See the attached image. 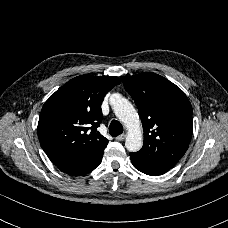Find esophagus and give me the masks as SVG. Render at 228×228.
<instances>
[{
	"mask_svg": "<svg viewBox=\"0 0 228 228\" xmlns=\"http://www.w3.org/2000/svg\"><path fill=\"white\" fill-rule=\"evenodd\" d=\"M125 137H126L125 134H121V135L117 136V137L115 138V140H116V141H123V140L125 139Z\"/></svg>",
	"mask_w": 228,
	"mask_h": 228,
	"instance_id": "esophagus-1",
	"label": "esophagus"
}]
</instances>
